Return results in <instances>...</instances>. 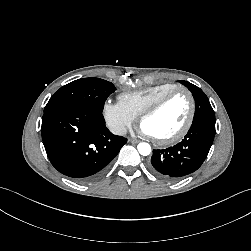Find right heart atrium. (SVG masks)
<instances>
[{
	"label": "right heart atrium",
	"instance_id": "d8ad5b80",
	"mask_svg": "<svg viewBox=\"0 0 251 251\" xmlns=\"http://www.w3.org/2000/svg\"><path fill=\"white\" fill-rule=\"evenodd\" d=\"M102 114L111 131L118 135L126 133L135 120L119 102L106 101Z\"/></svg>",
	"mask_w": 251,
	"mask_h": 251
}]
</instances>
